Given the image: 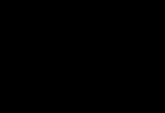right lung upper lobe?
<instances>
[{
	"mask_svg": "<svg viewBox=\"0 0 165 113\" xmlns=\"http://www.w3.org/2000/svg\"><path fill=\"white\" fill-rule=\"evenodd\" d=\"M65 64L66 63L57 62V60H54L49 65V69L52 71V73L46 76L47 82L54 83V81L57 78H59L61 75L65 74L67 72V66Z\"/></svg>",
	"mask_w": 165,
	"mask_h": 113,
	"instance_id": "cb5924a9",
	"label": "right lung upper lobe"
}]
</instances>
